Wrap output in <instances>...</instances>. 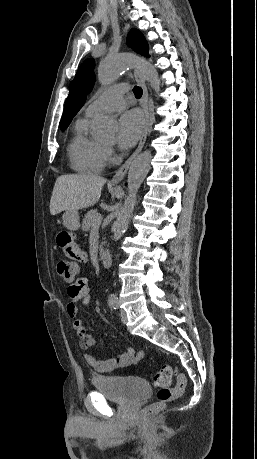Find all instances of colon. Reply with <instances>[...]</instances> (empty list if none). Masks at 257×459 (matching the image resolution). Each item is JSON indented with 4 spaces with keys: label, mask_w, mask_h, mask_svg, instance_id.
<instances>
[{
    "label": "colon",
    "mask_w": 257,
    "mask_h": 459,
    "mask_svg": "<svg viewBox=\"0 0 257 459\" xmlns=\"http://www.w3.org/2000/svg\"><path fill=\"white\" fill-rule=\"evenodd\" d=\"M81 264H69V261L60 260L57 263L58 275L68 283H73L80 273ZM173 369L170 366H163L155 375L153 384L158 389L157 401L144 410L145 416H152L163 409L167 404L182 395L187 380L183 374L177 375L176 385L170 387L172 382Z\"/></svg>",
    "instance_id": "colon-1"
}]
</instances>
